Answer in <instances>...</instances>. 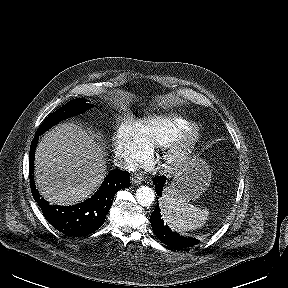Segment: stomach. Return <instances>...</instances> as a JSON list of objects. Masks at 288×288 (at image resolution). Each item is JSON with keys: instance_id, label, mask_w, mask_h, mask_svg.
<instances>
[{"instance_id": "stomach-1", "label": "stomach", "mask_w": 288, "mask_h": 288, "mask_svg": "<svg viewBox=\"0 0 288 288\" xmlns=\"http://www.w3.org/2000/svg\"><path fill=\"white\" fill-rule=\"evenodd\" d=\"M211 176L207 163L203 159L193 158L174 174L172 182L165 189V193L187 202L194 201L208 189Z\"/></svg>"}]
</instances>
